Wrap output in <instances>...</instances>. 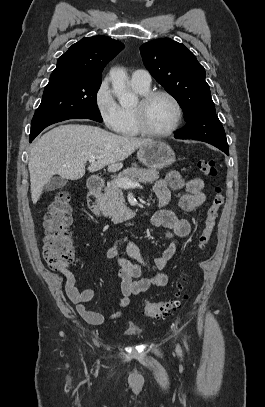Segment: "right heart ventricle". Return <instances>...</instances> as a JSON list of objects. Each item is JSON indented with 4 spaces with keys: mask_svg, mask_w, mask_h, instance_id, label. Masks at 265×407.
<instances>
[{
    "mask_svg": "<svg viewBox=\"0 0 265 407\" xmlns=\"http://www.w3.org/2000/svg\"><path fill=\"white\" fill-rule=\"evenodd\" d=\"M134 90L139 93L140 95H144L149 91L148 89H144L141 87H137L132 85ZM116 132L126 138H133L137 137L139 135V132L137 131L135 127V122H134V115H133V109L132 108H127V107H122L121 108V123Z\"/></svg>",
    "mask_w": 265,
    "mask_h": 407,
    "instance_id": "right-heart-ventricle-1",
    "label": "right heart ventricle"
}]
</instances>
